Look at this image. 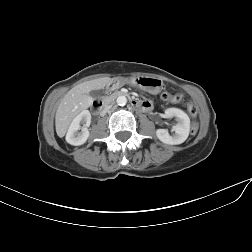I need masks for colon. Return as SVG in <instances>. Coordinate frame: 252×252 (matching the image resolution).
<instances>
[{"mask_svg":"<svg viewBox=\"0 0 252 252\" xmlns=\"http://www.w3.org/2000/svg\"><path fill=\"white\" fill-rule=\"evenodd\" d=\"M162 99L171 103H178L182 100V95L181 94L172 95L170 93L164 92L162 94ZM187 111L192 117H195L198 112V108L195 104L188 103ZM196 131H197V123L193 122L191 126V132L195 133Z\"/></svg>","mask_w":252,"mask_h":252,"instance_id":"colon-1","label":"colon"}]
</instances>
